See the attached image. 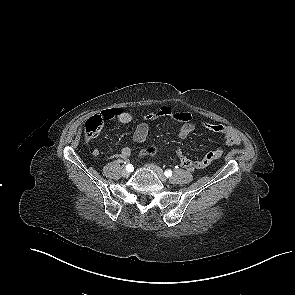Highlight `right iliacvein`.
<instances>
[{
    "instance_id": "63e3f726",
    "label": "right iliac vein",
    "mask_w": 295,
    "mask_h": 295,
    "mask_svg": "<svg viewBox=\"0 0 295 295\" xmlns=\"http://www.w3.org/2000/svg\"><path fill=\"white\" fill-rule=\"evenodd\" d=\"M129 175H130V173L127 170H123V172H122L123 177L127 178Z\"/></svg>"
}]
</instances>
